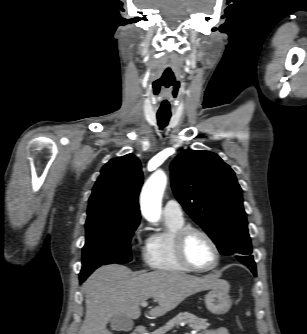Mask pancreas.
Wrapping results in <instances>:
<instances>
[{"instance_id":"obj_1","label":"pancreas","mask_w":307,"mask_h":334,"mask_svg":"<svg viewBox=\"0 0 307 334\" xmlns=\"http://www.w3.org/2000/svg\"><path fill=\"white\" fill-rule=\"evenodd\" d=\"M181 323L188 324L190 328L197 331L206 330L210 324L207 319L199 318L189 312L179 313L176 317L171 319L166 325L155 330L153 334H166L174 327H179Z\"/></svg>"}]
</instances>
